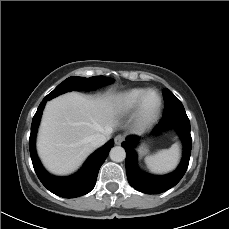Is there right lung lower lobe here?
<instances>
[{"label": "right lung lower lobe", "instance_id": "obj_1", "mask_svg": "<svg viewBox=\"0 0 229 229\" xmlns=\"http://www.w3.org/2000/svg\"><path fill=\"white\" fill-rule=\"evenodd\" d=\"M46 101V99H43L40 103L31 125L29 148L34 170L42 184L55 195L64 198L85 195L94 188L99 169L113 147L114 140H110L106 145L94 152L76 174L69 177H56L49 174L41 165L35 150L37 128Z\"/></svg>", "mask_w": 229, "mask_h": 229}]
</instances>
